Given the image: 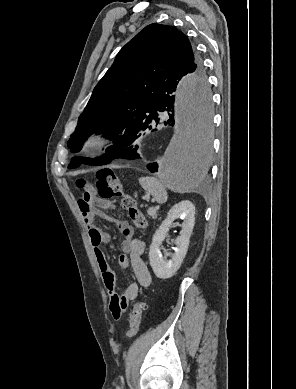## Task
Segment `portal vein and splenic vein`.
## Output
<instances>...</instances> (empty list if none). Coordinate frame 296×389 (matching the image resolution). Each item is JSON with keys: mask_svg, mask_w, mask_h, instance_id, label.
Listing matches in <instances>:
<instances>
[{"mask_svg": "<svg viewBox=\"0 0 296 389\" xmlns=\"http://www.w3.org/2000/svg\"><path fill=\"white\" fill-rule=\"evenodd\" d=\"M148 214L151 215V216H153V215L155 214V211L149 210V211H148Z\"/></svg>", "mask_w": 296, "mask_h": 389, "instance_id": "18ae733b", "label": "portal vein and splenic vein"}]
</instances>
